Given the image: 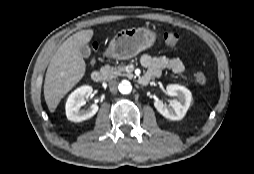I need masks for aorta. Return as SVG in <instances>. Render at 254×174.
<instances>
[{"label": "aorta", "mask_w": 254, "mask_h": 174, "mask_svg": "<svg viewBox=\"0 0 254 174\" xmlns=\"http://www.w3.org/2000/svg\"><path fill=\"white\" fill-rule=\"evenodd\" d=\"M119 92L122 94H129L132 91V86L129 81H122L118 86Z\"/></svg>", "instance_id": "1"}]
</instances>
